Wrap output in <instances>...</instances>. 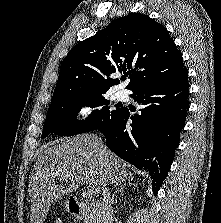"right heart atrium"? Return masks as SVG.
<instances>
[{
  "label": "right heart atrium",
  "instance_id": "d8ad5b80",
  "mask_svg": "<svg viewBox=\"0 0 221 223\" xmlns=\"http://www.w3.org/2000/svg\"><path fill=\"white\" fill-rule=\"evenodd\" d=\"M93 111H94V108L91 104L83 103L79 105L78 108L76 109V116L80 120L85 121L90 118Z\"/></svg>",
  "mask_w": 221,
  "mask_h": 223
}]
</instances>
